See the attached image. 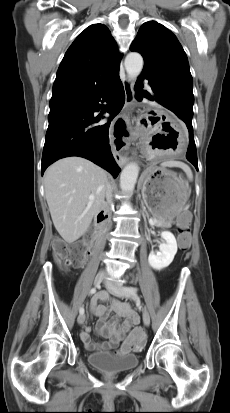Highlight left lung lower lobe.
<instances>
[{"instance_id":"obj_1","label":"left lung lower lobe","mask_w":230,"mask_h":413,"mask_svg":"<svg viewBox=\"0 0 230 413\" xmlns=\"http://www.w3.org/2000/svg\"><path fill=\"white\" fill-rule=\"evenodd\" d=\"M142 79H145L144 77H139L135 84V90L136 93L139 94V91L141 87H143V84L141 82ZM136 98L140 101L142 100V97L140 95H137ZM150 99V98H149ZM150 100H154L153 98ZM170 111H172L174 114H176L186 125L188 131H189V146L187 149L186 153V158L189 162H191L195 168L198 170V162H197V152H196V145L193 137V127H192V119H189L185 114L181 113L179 110L175 108H169ZM174 133V132H172Z\"/></svg>"}]
</instances>
